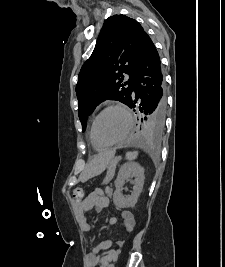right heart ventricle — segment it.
Here are the masks:
<instances>
[{
  "label": "right heart ventricle",
  "instance_id": "obj_1",
  "mask_svg": "<svg viewBox=\"0 0 225 267\" xmlns=\"http://www.w3.org/2000/svg\"><path fill=\"white\" fill-rule=\"evenodd\" d=\"M92 123H93V120L91 121V124L89 126V130H88V138H89V141H90V143H91V145H92V147L94 149H96V150H103V149H105L107 147H104V146H101V145L95 143L94 140H93V138H92V132H91L92 131Z\"/></svg>",
  "mask_w": 225,
  "mask_h": 267
}]
</instances>
